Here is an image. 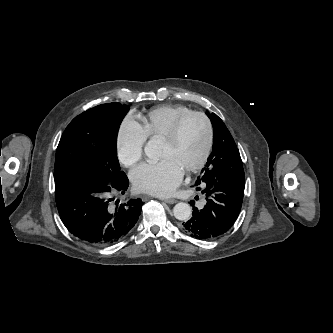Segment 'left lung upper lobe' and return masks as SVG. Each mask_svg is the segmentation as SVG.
Masks as SVG:
<instances>
[{
    "instance_id": "left-lung-upper-lobe-1",
    "label": "left lung upper lobe",
    "mask_w": 333,
    "mask_h": 333,
    "mask_svg": "<svg viewBox=\"0 0 333 333\" xmlns=\"http://www.w3.org/2000/svg\"><path fill=\"white\" fill-rule=\"evenodd\" d=\"M206 114L213 126V149L199 177L209 175L220 181L243 180L242 160L233 137L216 114Z\"/></svg>"
}]
</instances>
